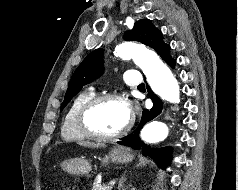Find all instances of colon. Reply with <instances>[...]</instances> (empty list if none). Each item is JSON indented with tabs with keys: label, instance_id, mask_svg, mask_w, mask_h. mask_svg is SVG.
Instances as JSON below:
<instances>
[{
	"label": "colon",
	"instance_id": "obj_1",
	"mask_svg": "<svg viewBox=\"0 0 238 190\" xmlns=\"http://www.w3.org/2000/svg\"><path fill=\"white\" fill-rule=\"evenodd\" d=\"M64 190H75L73 187H66Z\"/></svg>",
	"mask_w": 238,
	"mask_h": 190
}]
</instances>
